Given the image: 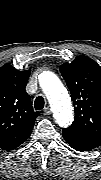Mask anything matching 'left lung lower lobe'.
Returning <instances> with one entry per match:
<instances>
[{
  "label": "left lung lower lobe",
  "instance_id": "left-lung-lower-lobe-1",
  "mask_svg": "<svg viewBox=\"0 0 101 180\" xmlns=\"http://www.w3.org/2000/svg\"><path fill=\"white\" fill-rule=\"evenodd\" d=\"M63 137L72 148L78 151H89L100 145L99 142H95L85 137L76 136L65 131H63Z\"/></svg>",
  "mask_w": 101,
  "mask_h": 180
}]
</instances>
